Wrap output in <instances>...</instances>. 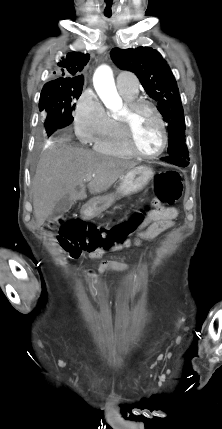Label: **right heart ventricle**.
<instances>
[{"label":"right heart ventricle","mask_w":222,"mask_h":429,"mask_svg":"<svg viewBox=\"0 0 222 429\" xmlns=\"http://www.w3.org/2000/svg\"><path fill=\"white\" fill-rule=\"evenodd\" d=\"M126 101L136 98L137 93H124L120 92ZM94 148L106 155L131 158L134 155L127 148L122 129L116 116H108V124L104 133L95 141Z\"/></svg>","instance_id":"e07e8e85"}]
</instances>
